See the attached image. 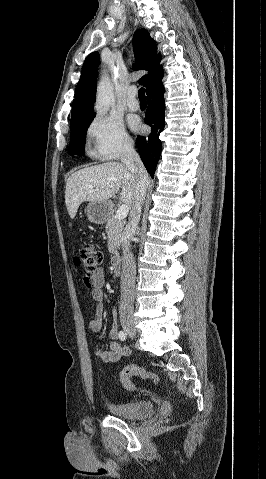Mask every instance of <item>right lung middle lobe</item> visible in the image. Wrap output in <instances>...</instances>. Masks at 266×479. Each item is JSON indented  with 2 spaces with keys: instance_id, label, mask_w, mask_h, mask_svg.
<instances>
[{
  "instance_id": "obj_1",
  "label": "right lung middle lobe",
  "mask_w": 266,
  "mask_h": 479,
  "mask_svg": "<svg viewBox=\"0 0 266 479\" xmlns=\"http://www.w3.org/2000/svg\"><path fill=\"white\" fill-rule=\"evenodd\" d=\"M95 116L87 117L71 123V137L69 152L73 155L81 156L84 150L87 128Z\"/></svg>"
}]
</instances>
